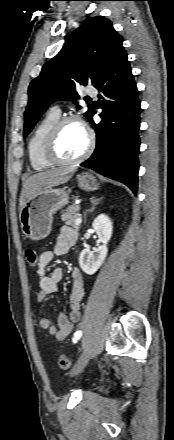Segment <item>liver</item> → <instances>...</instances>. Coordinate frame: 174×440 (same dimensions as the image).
<instances>
[{"instance_id": "obj_1", "label": "liver", "mask_w": 174, "mask_h": 440, "mask_svg": "<svg viewBox=\"0 0 174 440\" xmlns=\"http://www.w3.org/2000/svg\"><path fill=\"white\" fill-rule=\"evenodd\" d=\"M71 178L67 171L58 169L47 170L30 176L23 184L19 199V212H21L26 201L39 191L64 184Z\"/></svg>"}]
</instances>
